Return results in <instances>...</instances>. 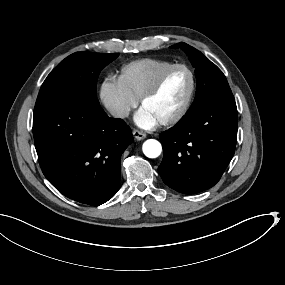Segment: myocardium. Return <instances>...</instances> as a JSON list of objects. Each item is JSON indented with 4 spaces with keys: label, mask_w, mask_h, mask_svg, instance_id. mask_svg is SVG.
I'll return each instance as SVG.
<instances>
[{
    "label": "myocardium",
    "mask_w": 285,
    "mask_h": 285,
    "mask_svg": "<svg viewBox=\"0 0 285 285\" xmlns=\"http://www.w3.org/2000/svg\"><path fill=\"white\" fill-rule=\"evenodd\" d=\"M177 73H182V74L187 75V77L189 79V91H188V94H187V97L185 99L183 106L173 115L167 116L166 118L161 119L159 121L163 125H172V124L177 123L188 112L190 105H191V102H192L193 92H194V79H193L192 73L188 69L181 67V66L173 67V68L167 70L166 72H164L161 75V77L157 80V82L151 88H149L147 91H145L140 96V99H139L140 105H143L148 99H150L152 96L157 94L162 89L164 84L173 75H175Z\"/></svg>",
    "instance_id": "myocardium-1"
}]
</instances>
